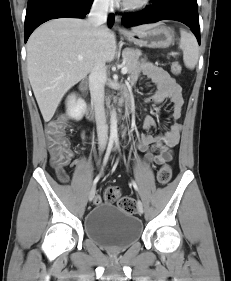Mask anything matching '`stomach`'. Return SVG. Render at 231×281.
Segmentation results:
<instances>
[{"label":"stomach","mask_w":231,"mask_h":281,"mask_svg":"<svg viewBox=\"0 0 231 281\" xmlns=\"http://www.w3.org/2000/svg\"><path fill=\"white\" fill-rule=\"evenodd\" d=\"M123 35L135 45L149 48H167L173 41L171 30L160 24H153L139 31H125Z\"/></svg>","instance_id":"1"}]
</instances>
